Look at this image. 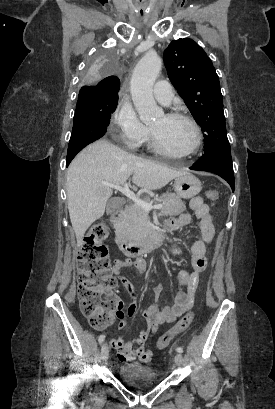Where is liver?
<instances>
[{
    "label": "liver",
    "mask_w": 275,
    "mask_h": 409,
    "mask_svg": "<svg viewBox=\"0 0 275 409\" xmlns=\"http://www.w3.org/2000/svg\"><path fill=\"white\" fill-rule=\"evenodd\" d=\"M130 174L137 186L154 190L188 172L129 154L107 138L88 144L67 168L68 211L77 245L82 243L90 225L105 213L106 202L113 190L103 182L125 184Z\"/></svg>",
    "instance_id": "obj_1"
}]
</instances>
